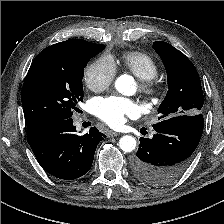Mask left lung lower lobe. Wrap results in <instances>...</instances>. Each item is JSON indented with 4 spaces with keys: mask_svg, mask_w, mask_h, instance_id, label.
Returning <instances> with one entry per match:
<instances>
[{
    "mask_svg": "<svg viewBox=\"0 0 224 224\" xmlns=\"http://www.w3.org/2000/svg\"><path fill=\"white\" fill-rule=\"evenodd\" d=\"M203 115H180L153 125L152 139L140 138L132 160L135 177L149 185L163 186L179 178L191 162L203 132Z\"/></svg>",
    "mask_w": 224,
    "mask_h": 224,
    "instance_id": "obj_1",
    "label": "left lung lower lobe"
}]
</instances>
